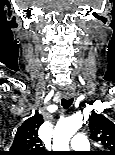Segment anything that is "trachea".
<instances>
[{
	"mask_svg": "<svg viewBox=\"0 0 115 155\" xmlns=\"http://www.w3.org/2000/svg\"><path fill=\"white\" fill-rule=\"evenodd\" d=\"M72 103H73V98H69V99L63 98L61 101L62 107L64 109L69 108L72 105Z\"/></svg>",
	"mask_w": 115,
	"mask_h": 155,
	"instance_id": "obj_1",
	"label": "trachea"
}]
</instances>
